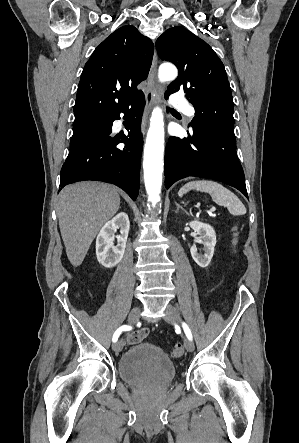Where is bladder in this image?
<instances>
[{"instance_id":"bladder-1","label":"bladder","mask_w":299,"mask_h":443,"mask_svg":"<svg viewBox=\"0 0 299 443\" xmlns=\"http://www.w3.org/2000/svg\"><path fill=\"white\" fill-rule=\"evenodd\" d=\"M117 372L128 385L161 386L174 380L176 368L161 348L152 343H139L120 357Z\"/></svg>"}]
</instances>
